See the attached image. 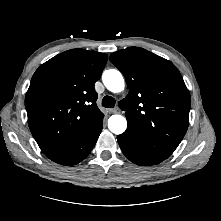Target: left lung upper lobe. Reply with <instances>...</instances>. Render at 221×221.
<instances>
[{
    "instance_id": "left-lung-upper-lobe-1",
    "label": "left lung upper lobe",
    "mask_w": 221,
    "mask_h": 221,
    "mask_svg": "<svg viewBox=\"0 0 221 221\" xmlns=\"http://www.w3.org/2000/svg\"><path fill=\"white\" fill-rule=\"evenodd\" d=\"M109 59L124 74L129 88L119 102L128 126L151 145L175 151L187 131L191 105L178 69L138 47L114 52Z\"/></svg>"
}]
</instances>
